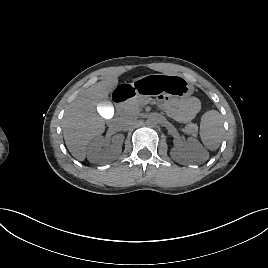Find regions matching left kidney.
<instances>
[{"label":"left kidney","mask_w":268,"mask_h":268,"mask_svg":"<svg viewBox=\"0 0 268 268\" xmlns=\"http://www.w3.org/2000/svg\"><path fill=\"white\" fill-rule=\"evenodd\" d=\"M170 155L174 160L184 163H200L208 159L206 150L193 137H189L187 142H176Z\"/></svg>","instance_id":"left-kidney-1"}]
</instances>
